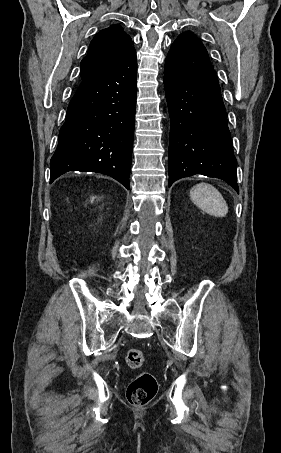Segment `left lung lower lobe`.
<instances>
[{"mask_svg": "<svg viewBox=\"0 0 281 453\" xmlns=\"http://www.w3.org/2000/svg\"><path fill=\"white\" fill-rule=\"evenodd\" d=\"M166 100L171 120L169 187L202 174L239 192L227 115L208 53L192 33L180 35L166 57Z\"/></svg>", "mask_w": 281, "mask_h": 453, "instance_id": "left-lung-lower-lobe-1", "label": "left lung lower lobe"}]
</instances>
